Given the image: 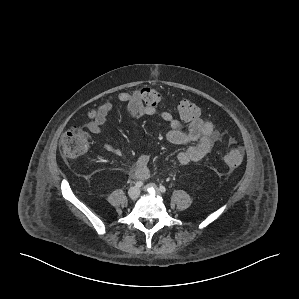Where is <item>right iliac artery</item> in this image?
Returning a JSON list of instances; mask_svg holds the SVG:
<instances>
[{
	"label": "right iliac artery",
	"instance_id": "1",
	"mask_svg": "<svg viewBox=\"0 0 299 299\" xmlns=\"http://www.w3.org/2000/svg\"><path fill=\"white\" fill-rule=\"evenodd\" d=\"M135 186H136L137 188H140V187L143 186V182H142V181H137V182L135 183Z\"/></svg>",
	"mask_w": 299,
	"mask_h": 299
}]
</instances>
